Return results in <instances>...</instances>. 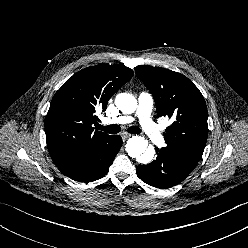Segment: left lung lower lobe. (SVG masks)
Here are the masks:
<instances>
[{
    "instance_id": "obj_1",
    "label": "left lung lower lobe",
    "mask_w": 248,
    "mask_h": 248,
    "mask_svg": "<svg viewBox=\"0 0 248 248\" xmlns=\"http://www.w3.org/2000/svg\"><path fill=\"white\" fill-rule=\"evenodd\" d=\"M157 158L148 165H139L137 175L145 183L165 189L185 180L192 170L179 164L174 158L156 147Z\"/></svg>"
}]
</instances>
